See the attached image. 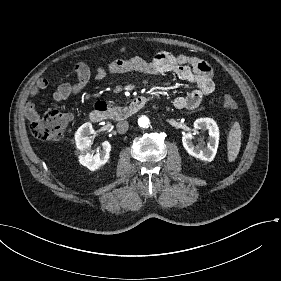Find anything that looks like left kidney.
<instances>
[{"label": "left kidney", "mask_w": 281, "mask_h": 281, "mask_svg": "<svg viewBox=\"0 0 281 281\" xmlns=\"http://www.w3.org/2000/svg\"><path fill=\"white\" fill-rule=\"evenodd\" d=\"M207 131L208 139L207 145L196 146L193 142V132L194 131ZM219 141V132L217 124L214 120L209 118H199L193 124V129L189 130L182 136V143L185 150L192 156L207 162L213 161Z\"/></svg>", "instance_id": "5707ae66"}]
</instances>
